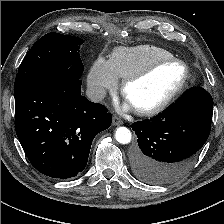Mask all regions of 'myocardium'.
Masks as SVG:
<instances>
[{"label": "myocardium", "mask_w": 224, "mask_h": 224, "mask_svg": "<svg viewBox=\"0 0 224 224\" xmlns=\"http://www.w3.org/2000/svg\"><path fill=\"white\" fill-rule=\"evenodd\" d=\"M169 63H178L183 67L184 74H183V77H182L180 83L164 100H162L157 105L150 107V108H145V109L135 108L136 113H138L139 115L153 116V115L159 114L162 111H164L165 109H167L184 91V89L188 83V80L190 78L189 68L184 61H182L178 58H175V57L162 58V59L153 61L152 63L147 65L142 70L129 75L128 77H126L123 80L121 90H122L123 96L127 99V91L131 84L148 77L156 69H158L159 67H161L163 65L169 64Z\"/></svg>", "instance_id": "1"}]
</instances>
